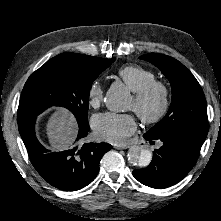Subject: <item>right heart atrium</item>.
Returning <instances> with one entry per match:
<instances>
[{
  "instance_id": "d8ad5b80",
  "label": "right heart atrium",
  "mask_w": 221,
  "mask_h": 221,
  "mask_svg": "<svg viewBox=\"0 0 221 221\" xmlns=\"http://www.w3.org/2000/svg\"><path fill=\"white\" fill-rule=\"evenodd\" d=\"M88 99H89V104L92 107H97L100 105V103L103 100V89L98 80H95L88 91Z\"/></svg>"
}]
</instances>
